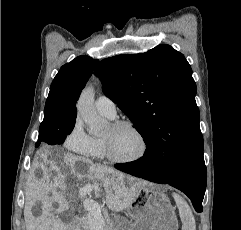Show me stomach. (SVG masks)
<instances>
[{
  "mask_svg": "<svg viewBox=\"0 0 241 230\" xmlns=\"http://www.w3.org/2000/svg\"><path fill=\"white\" fill-rule=\"evenodd\" d=\"M133 223L112 221L115 230H178V220L168 197L149 183H141L134 201L127 208Z\"/></svg>",
  "mask_w": 241,
  "mask_h": 230,
  "instance_id": "0dacf381",
  "label": "stomach"
}]
</instances>
